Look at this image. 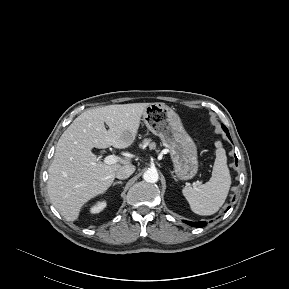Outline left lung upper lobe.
Segmentation results:
<instances>
[{
    "label": "left lung upper lobe",
    "mask_w": 289,
    "mask_h": 289,
    "mask_svg": "<svg viewBox=\"0 0 289 289\" xmlns=\"http://www.w3.org/2000/svg\"><path fill=\"white\" fill-rule=\"evenodd\" d=\"M222 128H223L224 131L227 130V128L224 125H222Z\"/></svg>",
    "instance_id": "left-lung-upper-lobe-1"
}]
</instances>
